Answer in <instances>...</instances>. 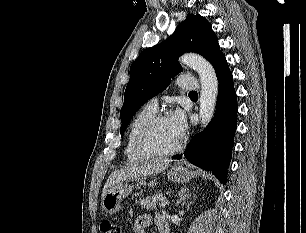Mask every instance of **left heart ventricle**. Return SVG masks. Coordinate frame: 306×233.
Here are the masks:
<instances>
[{"label": "left heart ventricle", "mask_w": 306, "mask_h": 233, "mask_svg": "<svg viewBox=\"0 0 306 233\" xmlns=\"http://www.w3.org/2000/svg\"><path fill=\"white\" fill-rule=\"evenodd\" d=\"M179 141L180 139L175 134L169 118L161 120L154 127L150 137L151 144L161 151L171 150Z\"/></svg>", "instance_id": "b2bd125f"}]
</instances>
